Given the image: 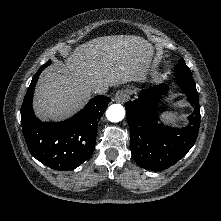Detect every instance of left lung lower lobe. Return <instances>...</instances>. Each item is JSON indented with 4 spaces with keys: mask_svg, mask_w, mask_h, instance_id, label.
Here are the masks:
<instances>
[{
    "mask_svg": "<svg viewBox=\"0 0 221 221\" xmlns=\"http://www.w3.org/2000/svg\"><path fill=\"white\" fill-rule=\"evenodd\" d=\"M194 112L181 129L159 123L157 103L168 93L165 84L139 93L138 99L125 104L130 128V149L136 163L149 170L162 171L178 162L194 145L200 126L198 92L191 74H175Z\"/></svg>",
    "mask_w": 221,
    "mask_h": 221,
    "instance_id": "0a47b994",
    "label": "left lung lower lobe"
}]
</instances>
